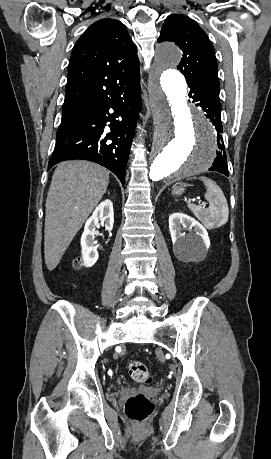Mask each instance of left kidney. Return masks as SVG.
Here are the masks:
<instances>
[{"label": "left kidney", "instance_id": "obj_1", "mask_svg": "<svg viewBox=\"0 0 271 459\" xmlns=\"http://www.w3.org/2000/svg\"><path fill=\"white\" fill-rule=\"evenodd\" d=\"M181 226L184 228H194L195 233H182ZM169 231L173 241V249L181 259H187L194 253H199L203 245L208 249L210 245L209 235L203 226L196 222L194 218H190L187 214L175 212L169 216Z\"/></svg>", "mask_w": 271, "mask_h": 459}]
</instances>
